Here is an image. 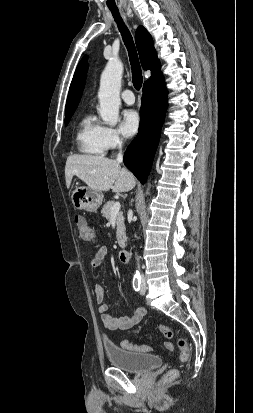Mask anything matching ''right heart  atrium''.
<instances>
[{"label": "right heart atrium", "instance_id": "d8ad5b80", "mask_svg": "<svg viewBox=\"0 0 253 413\" xmlns=\"http://www.w3.org/2000/svg\"><path fill=\"white\" fill-rule=\"evenodd\" d=\"M102 141L105 150H114L123 145V138L120 132L113 127H103Z\"/></svg>", "mask_w": 253, "mask_h": 413}]
</instances>
